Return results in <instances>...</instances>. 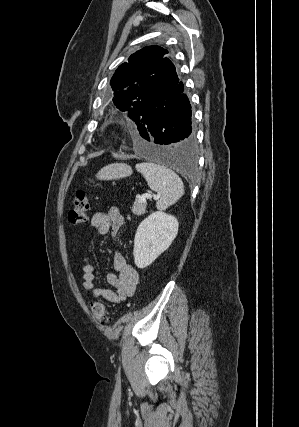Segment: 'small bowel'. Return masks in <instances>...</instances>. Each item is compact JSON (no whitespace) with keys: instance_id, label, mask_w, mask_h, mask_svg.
Instances as JSON below:
<instances>
[{"instance_id":"obj_1","label":"small bowel","mask_w":299,"mask_h":427,"mask_svg":"<svg viewBox=\"0 0 299 427\" xmlns=\"http://www.w3.org/2000/svg\"><path fill=\"white\" fill-rule=\"evenodd\" d=\"M123 225L124 218L116 207H111L107 212L94 213L90 221L91 228L102 235L110 232L112 236H117ZM82 262V286L86 294L91 293L96 299L114 304L121 303L134 294L139 275L122 254L115 253L113 257L115 272L108 273L106 276L107 283L112 289L95 287L94 266L90 258L86 257Z\"/></svg>"}]
</instances>
